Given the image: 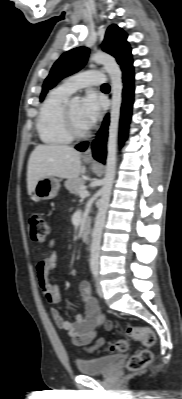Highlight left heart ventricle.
I'll use <instances>...</instances> for the list:
<instances>
[{"label": "left heart ventricle", "instance_id": "obj_1", "mask_svg": "<svg viewBox=\"0 0 182 399\" xmlns=\"http://www.w3.org/2000/svg\"><path fill=\"white\" fill-rule=\"evenodd\" d=\"M69 109H70V113H71V116H72V119H73V122H74L76 128L81 131L86 130L87 127L81 118V109H82L81 104L69 105Z\"/></svg>", "mask_w": 182, "mask_h": 399}]
</instances>
